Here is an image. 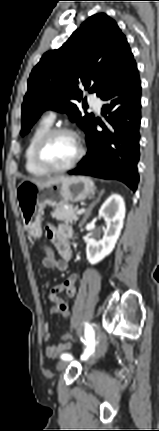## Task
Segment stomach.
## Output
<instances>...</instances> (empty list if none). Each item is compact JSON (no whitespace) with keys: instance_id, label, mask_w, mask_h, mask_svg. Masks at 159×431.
I'll return each instance as SVG.
<instances>
[{"instance_id":"obj_1","label":"stomach","mask_w":159,"mask_h":431,"mask_svg":"<svg viewBox=\"0 0 159 431\" xmlns=\"http://www.w3.org/2000/svg\"><path fill=\"white\" fill-rule=\"evenodd\" d=\"M95 190L93 181L85 176H61L43 183L22 181L16 189V197L26 231L40 238L46 205L58 208L69 202H79L94 195Z\"/></svg>"}]
</instances>
